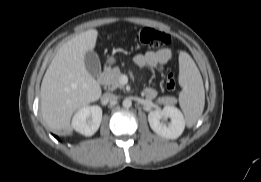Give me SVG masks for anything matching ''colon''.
Wrapping results in <instances>:
<instances>
[{
  "mask_svg": "<svg viewBox=\"0 0 261 182\" xmlns=\"http://www.w3.org/2000/svg\"><path fill=\"white\" fill-rule=\"evenodd\" d=\"M134 38L138 43L149 48H160L171 42V38L167 33L149 27L137 30L134 33ZM165 86L169 91L175 89V79L170 73L165 79Z\"/></svg>",
  "mask_w": 261,
  "mask_h": 182,
  "instance_id": "obj_1",
  "label": "colon"
}]
</instances>
